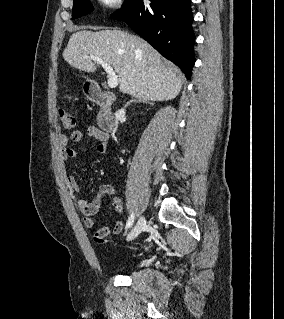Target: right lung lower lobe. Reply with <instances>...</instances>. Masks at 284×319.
Masks as SVG:
<instances>
[{"instance_id":"obj_1","label":"right lung lower lobe","mask_w":284,"mask_h":319,"mask_svg":"<svg viewBox=\"0 0 284 319\" xmlns=\"http://www.w3.org/2000/svg\"><path fill=\"white\" fill-rule=\"evenodd\" d=\"M150 1L145 5L142 0H129L111 17L125 21L190 79L195 62L191 0Z\"/></svg>"}]
</instances>
